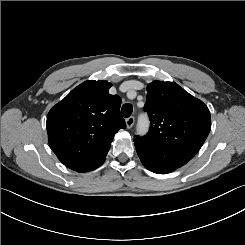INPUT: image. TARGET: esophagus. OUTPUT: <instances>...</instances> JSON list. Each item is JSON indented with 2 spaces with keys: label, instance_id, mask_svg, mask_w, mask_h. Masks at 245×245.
Here are the masks:
<instances>
[{
  "label": "esophagus",
  "instance_id": "obj_1",
  "mask_svg": "<svg viewBox=\"0 0 245 245\" xmlns=\"http://www.w3.org/2000/svg\"><path fill=\"white\" fill-rule=\"evenodd\" d=\"M134 122H135V119H134L133 116L128 117V118L126 119V126H127V128H128V129L132 128L133 125H134Z\"/></svg>",
  "mask_w": 245,
  "mask_h": 245
}]
</instances>
